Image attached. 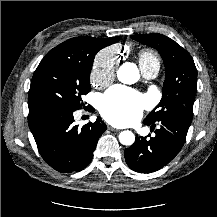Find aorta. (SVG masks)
I'll list each match as a JSON object with an SVG mask.
<instances>
[{
  "mask_svg": "<svg viewBox=\"0 0 217 217\" xmlns=\"http://www.w3.org/2000/svg\"><path fill=\"white\" fill-rule=\"evenodd\" d=\"M118 80L124 84H133L139 79V70L134 63H123L117 71ZM119 141L123 145L130 146L135 142L133 132L127 130L119 134Z\"/></svg>",
  "mask_w": 217,
  "mask_h": 217,
  "instance_id": "1",
  "label": "aorta"
}]
</instances>
